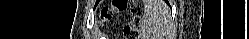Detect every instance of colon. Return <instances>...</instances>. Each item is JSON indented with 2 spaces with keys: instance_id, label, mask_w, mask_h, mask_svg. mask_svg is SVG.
I'll return each instance as SVG.
<instances>
[{
  "instance_id": "5ec220e1",
  "label": "colon",
  "mask_w": 249,
  "mask_h": 39,
  "mask_svg": "<svg viewBox=\"0 0 249 39\" xmlns=\"http://www.w3.org/2000/svg\"><path fill=\"white\" fill-rule=\"evenodd\" d=\"M130 8L132 12V19L128 25L124 28V35L127 39H138L140 31V14L141 10L136 6L135 1L129 0H115L113 5L108 8H104L102 11V21L106 22L113 18L114 14L121 13Z\"/></svg>"
}]
</instances>
